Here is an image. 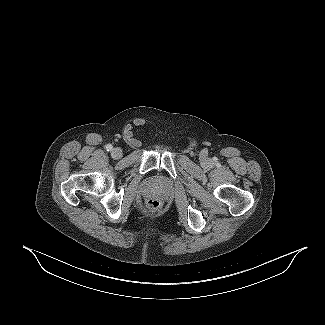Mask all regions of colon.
Returning <instances> with one entry per match:
<instances>
[{
    "mask_svg": "<svg viewBox=\"0 0 325 325\" xmlns=\"http://www.w3.org/2000/svg\"><path fill=\"white\" fill-rule=\"evenodd\" d=\"M146 206L151 210H158L161 206V203L156 198H150L147 200Z\"/></svg>",
    "mask_w": 325,
    "mask_h": 325,
    "instance_id": "5ec220e1",
    "label": "colon"
}]
</instances>
